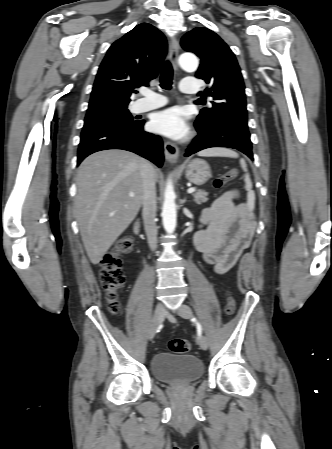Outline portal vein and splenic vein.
<instances>
[{
  "label": "portal vein and splenic vein",
  "instance_id": "18ae733b",
  "mask_svg": "<svg viewBox=\"0 0 332 449\" xmlns=\"http://www.w3.org/2000/svg\"><path fill=\"white\" fill-rule=\"evenodd\" d=\"M187 192H188L189 194L194 193V192H195V189H194V188H189V189L187 190ZM129 196H130V197H134V193H129Z\"/></svg>",
  "mask_w": 332,
  "mask_h": 449
}]
</instances>
